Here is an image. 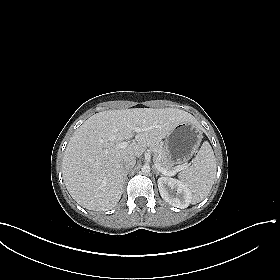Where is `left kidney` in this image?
<instances>
[{
  "mask_svg": "<svg viewBox=\"0 0 280 280\" xmlns=\"http://www.w3.org/2000/svg\"><path fill=\"white\" fill-rule=\"evenodd\" d=\"M157 182L160 195L167 203L181 209L188 207L192 195L184 183L168 177H160Z\"/></svg>",
  "mask_w": 280,
  "mask_h": 280,
  "instance_id": "1",
  "label": "left kidney"
}]
</instances>
